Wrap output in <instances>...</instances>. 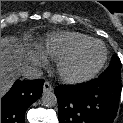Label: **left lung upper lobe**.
<instances>
[{"label": "left lung upper lobe", "mask_w": 123, "mask_h": 123, "mask_svg": "<svg viewBox=\"0 0 123 123\" xmlns=\"http://www.w3.org/2000/svg\"><path fill=\"white\" fill-rule=\"evenodd\" d=\"M98 78L121 82V61L117 55L112 56L109 67Z\"/></svg>", "instance_id": "left-lung-upper-lobe-1"}]
</instances>
